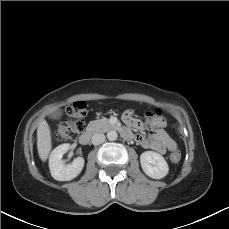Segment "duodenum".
I'll return each mask as SVG.
<instances>
[{"label": "duodenum", "mask_w": 229, "mask_h": 229, "mask_svg": "<svg viewBox=\"0 0 229 229\" xmlns=\"http://www.w3.org/2000/svg\"><path fill=\"white\" fill-rule=\"evenodd\" d=\"M94 134H95L94 128H89V129L85 130L79 137V140H78L79 143L81 145H88L90 143L92 137L94 136ZM121 135L125 139H133V135L127 129H122Z\"/></svg>", "instance_id": "obj_1"}]
</instances>
